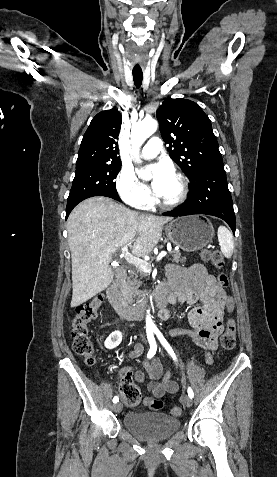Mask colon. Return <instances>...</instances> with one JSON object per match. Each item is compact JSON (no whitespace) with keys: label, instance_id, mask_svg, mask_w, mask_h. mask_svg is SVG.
I'll use <instances>...</instances> for the list:
<instances>
[{"label":"colon","instance_id":"obj_1","mask_svg":"<svg viewBox=\"0 0 277 477\" xmlns=\"http://www.w3.org/2000/svg\"><path fill=\"white\" fill-rule=\"evenodd\" d=\"M201 258L204 262L212 264L215 268L220 269L224 266V258L217 250L204 249L201 252ZM217 279L223 287L228 285L229 281L226 274H219ZM102 302L103 296L99 294L92 300L80 304L76 307V314L72 321L71 337L73 350L76 354L82 356L88 365H94L96 361L94 347L88 337V324L97 317V311ZM235 304V296H228L223 307L224 311L229 313L234 312L236 308ZM235 343V319L229 318L226 331L221 337V346L224 350H231L234 348ZM120 392L125 403L130 407H137L142 401L140 389L131 380L122 382ZM146 402L149 408L155 411L163 407V402L159 399L149 398ZM181 412L179 407H173L171 409L173 416H180Z\"/></svg>","mask_w":277,"mask_h":477}]
</instances>
